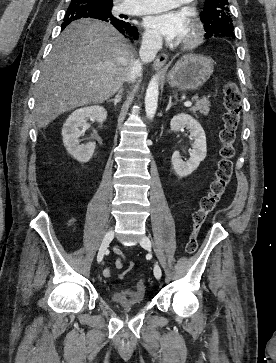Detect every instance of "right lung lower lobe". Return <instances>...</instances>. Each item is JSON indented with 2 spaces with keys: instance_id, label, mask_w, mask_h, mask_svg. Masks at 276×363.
Returning <instances> with one entry per match:
<instances>
[{
  "instance_id": "98d812e1",
  "label": "right lung lower lobe",
  "mask_w": 276,
  "mask_h": 363,
  "mask_svg": "<svg viewBox=\"0 0 276 363\" xmlns=\"http://www.w3.org/2000/svg\"><path fill=\"white\" fill-rule=\"evenodd\" d=\"M80 18H94V19L110 22L116 27V29H118V31L120 33H122L124 35L126 34V35H128V37H133L134 39L138 38L137 28L132 27L130 23L125 22V21L116 22L115 20L103 19L95 11H93L91 9H87V8H77L74 10H67L65 17H64V22L62 23V30L68 24H70L72 21L80 19Z\"/></svg>"
}]
</instances>
